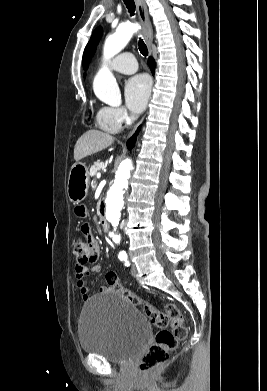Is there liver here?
I'll return each mask as SVG.
<instances>
[{"label": "liver", "instance_id": "liver-1", "mask_svg": "<svg viewBox=\"0 0 267 391\" xmlns=\"http://www.w3.org/2000/svg\"><path fill=\"white\" fill-rule=\"evenodd\" d=\"M114 142V137L99 130H89L85 132L76 142L74 148V159L79 160L100 152Z\"/></svg>", "mask_w": 267, "mask_h": 391}]
</instances>
